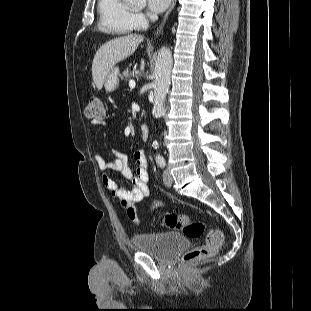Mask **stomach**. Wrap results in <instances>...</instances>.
I'll return each mask as SVG.
<instances>
[{
  "label": "stomach",
  "mask_w": 311,
  "mask_h": 311,
  "mask_svg": "<svg viewBox=\"0 0 311 311\" xmlns=\"http://www.w3.org/2000/svg\"><path fill=\"white\" fill-rule=\"evenodd\" d=\"M119 69L112 68L108 75L106 76L104 87L107 92H112L119 86Z\"/></svg>",
  "instance_id": "stomach-1"
}]
</instances>
